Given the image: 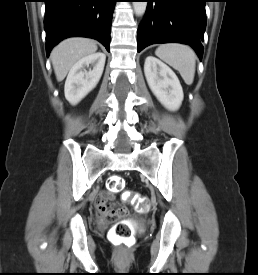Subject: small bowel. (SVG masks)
Wrapping results in <instances>:
<instances>
[{"label": "small bowel", "instance_id": "c3829d8e", "mask_svg": "<svg viewBox=\"0 0 258 275\" xmlns=\"http://www.w3.org/2000/svg\"><path fill=\"white\" fill-rule=\"evenodd\" d=\"M111 200H112V195L109 193H102L98 196L95 202V207L102 216H104V213L108 210L107 203Z\"/></svg>", "mask_w": 258, "mask_h": 275}]
</instances>
